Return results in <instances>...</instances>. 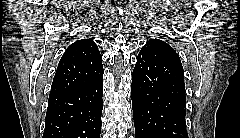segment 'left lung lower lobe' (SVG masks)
<instances>
[{"label": "left lung lower lobe", "instance_id": "obj_1", "mask_svg": "<svg viewBox=\"0 0 240 138\" xmlns=\"http://www.w3.org/2000/svg\"><path fill=\"white\" fill-rule=\"evenodd\" d=\"M136 138H188L183 67L162 48L141 52L132 74Z\"/></svg>", "mask_w": 240, "mask_h": 138}]
</instances>
